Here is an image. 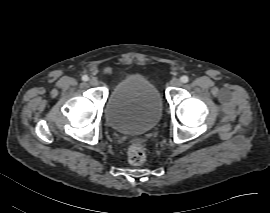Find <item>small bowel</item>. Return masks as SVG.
Instances as JSON below:
<instances>
[{
    "label": "small bowel",
    "mask_w": 270,
    "mask_h": 213,
    "mask_svg": "<svg viewBox=\"0 0 270 213\" xmlns=\"http://www.w3.org/2000/svg\"><path fill=\"white\" fill-rule=\"evenodd\" d=\"M104 74L105 75H108V76H111L112 75V69L107 67L104 69Z\"/></svg>",
    "instance_id": "1"
}]
</instances>
